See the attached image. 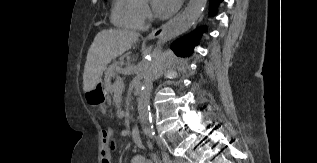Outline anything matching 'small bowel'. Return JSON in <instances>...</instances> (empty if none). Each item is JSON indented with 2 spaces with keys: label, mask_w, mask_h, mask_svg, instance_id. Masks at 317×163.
<instances>
[{
  "label": "small bowel",
  "mask_w": 317,
  "mask_h": 163,
  "mask_svg": "<svg viewBox=\"0 0 317 163\" xmlns=\"http://www.w3.org/2000/svg\"><path fill=\"white\" fill-rule=\"evenodd\" d=\"M113 132L110 129H105L102 131V140L104 144L108 143V139L112 136ZM101 163H111V154L108 150L104 149L100 154ZM131 163H160L155 159H148L142 155L134 156Z\"/></svg>",
  "instance_id": "obj_1"
}]
</instances>
